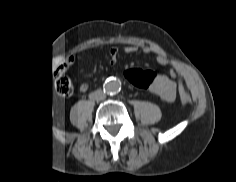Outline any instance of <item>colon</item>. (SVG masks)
<instances>
[{
	"label": "colon",
	"instance_id": "colon-1",
	"mask_svg": "<svg viewBox=\"0 0 236 182\" xmlns=\"http://www.w3.org/2000/svg\"><path fill=\"white\" fill-rule=\"evenodd\" d=\"M124 76L131 85L140 89H148L154 79L152 71L140 68L127 69ZM56 84L58 92L63 95H68L72 90L69 80L64 76L58 77ZM179 90L181 94H186V89L182 83L179 84Z\"/></svg>",
	"mask_w": 236,
	"mask_h": 182
}]
</instances>
